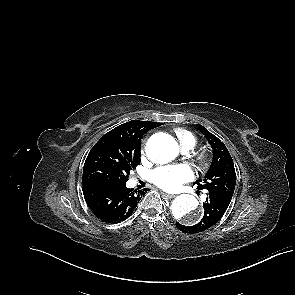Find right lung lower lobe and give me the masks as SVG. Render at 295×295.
Wrapping results in <instances>:
<instances>
[{
	"instance_id": "1",
	"label": "right lung lower lobe",
	"mask_w": 295,
	"mask_h": 295,
	"mask_svg": "<svg viewBox=\"0 0 295 295\" xmlns=\"http://www.w3.org/2000/svg\"><path fill=\"white\" fill-rule=\"evenodd\" d=\"M147 190L134 192L126 184L83 185V195L94 215L107 223H119L127 219Z\"/></svg>"
}]
</instances>
